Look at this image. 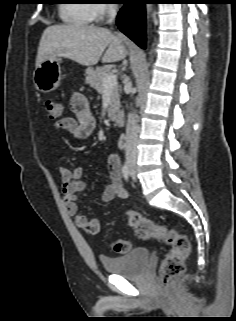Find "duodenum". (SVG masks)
Here are the masks:
<instances>
[{
  "instance_id": "1",
  "label": "duodenum",
  "mask_w": 236,
  "mask_h": 321,
  "mask_svg": "<svg viewBox=\"0 0 236 321\" xmlns=\"http://www.w3.org/2000/svg\"><path fill=\"white\" fill-rule=\"evenodd\" d=\"M111 119L118 126H122L124 124V115L122 113H115L111 116Z\"/></svg>"
}]
</instances>
